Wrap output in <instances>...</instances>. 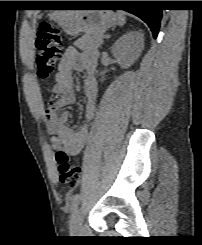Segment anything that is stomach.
<instances>
[{
    "mask_svg": "<svg viewBox=\"0 0 202 245\" xmlns=\"http://www.w3.org/2000/svg\"><path fill=\"white\" fill-rule=\"evenodd\" d=\"M49 16L70 36L81 32L97 36L115 26L118 21L117 15L108 10L53 12Z\"/></svg>",
    "mask_w": 202,
    "mask_h": 245,
    "instance_id": "obj_1",
    "label": "stomach"
}]
</instances>
